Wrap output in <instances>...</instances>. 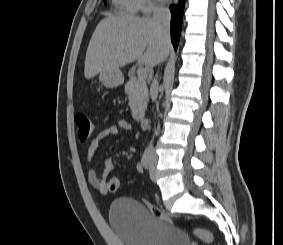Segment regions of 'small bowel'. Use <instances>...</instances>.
Wrapping results in <instances>:
<instances>
[{
    "label": "small bowel",
    "instance_id": "c3829d8e",
    "mask_svg": "<svg viewBox=\"0 0 283 245\" xmlns=\"http://www.w3.org/2000/svg\"><path fill=\"white\" fill-rule=\"evenodd\" d=\"M119 130L132 131L133 125L126 119H119L115 125L108 126L102 129L100 132H98L97 135L94 137V139L91 141L87 150V155H86L87 180L90 183V185L93 186L95 189H97V191L102 195L108 193L107 182L109 175L114 170V163L110 157H107L105 159L104 173L100 177L92 166L93 159L101 144L106 139L116 136ZM136 170L138 173L143 172L142 163L136 164Z\"/></svg>",
    "mask_w": 283,
    "mask_h": 245
}]
</instances>
